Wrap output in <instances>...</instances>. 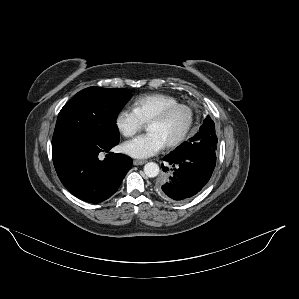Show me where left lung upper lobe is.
<instances>
[{
	"label": "left lung upper lobe",
	"instance_id": "1",
	"mask_svg": "<svg viewBox=\"0 0 299 299\" xmlns=\"http://www.w3.org/2000/svg\"><path fill=\"white\" fill-rule=\"evenodd\" d=\"M201 137H206V140H208L211 144L210 148L213 149L212 154L216 155L217 136L215 133V124L209 116H207V118L203 121L199 132L189 139V141H199ZM182 145L183 144L178 146L175 150H180Z\"/></svg>",
	"mask_w": 299,
	"mask_h": 299
}]
</instances>
